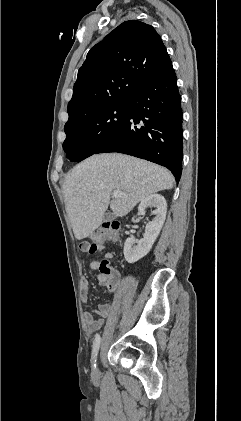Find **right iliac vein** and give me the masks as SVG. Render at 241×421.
Instances as JSON below:
<instances>
[{"instance_id": "right-iliac-vein-1", "label": "right iliac vein", "mask_w": 241, "mask_h": 421, "mask_svg": "<svg viewBox=\"0 0 241 421\" xmlns=\"http://www.w3.org/2000/svg\"><path fill=\"white\" fill-rule=\"evenodd\" d=\"M96 372H97V368H96V366L93 368V373L94 374H96Z\"/></svg>"}]
</instances>
